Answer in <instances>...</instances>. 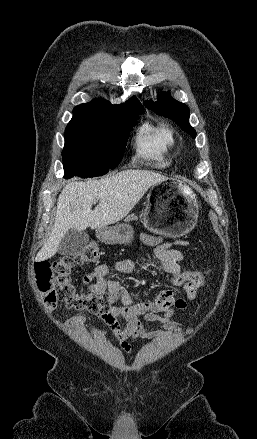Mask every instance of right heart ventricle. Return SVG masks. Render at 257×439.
Listing matches in <instances>:
<instances>
[{
	"instance_id": "e07e8e85",
	"label": "right heart ventricle",
	"mask_w": 257,
	"mask_h": 439,
	"mask_svg": "<svg viewBox=\"0 0 257 439\" xmlns=\"http://www.w3.org/2000/svg\"><path fill=\"white\" fill-rule=\"evenodd\" d=\"M175 145L173 130L167 125L151 126L144 125L136 138V146L139 154L155 161L159 166L168 164V154Z\"/></svg>"
}]
</instances>
